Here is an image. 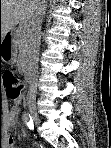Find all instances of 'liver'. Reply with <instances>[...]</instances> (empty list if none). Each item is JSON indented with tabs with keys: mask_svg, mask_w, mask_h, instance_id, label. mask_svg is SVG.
<instances>
[{
	"mask_svg": "<svg viewBox=\"0 0 111 148\" xmlns=\"http://www.w3.org/2000/svg\"><path fill=\"white\" fill-rule=\"evenodd\" d=\"M38 0H1L0 36L2 40L20 21H29L36 10Z\"/></svg>",
	"mask_w": 111,
	"mask_h": 148,
	"instance_id": "obj_1",
	"label": "liver"
}]
</instances>
